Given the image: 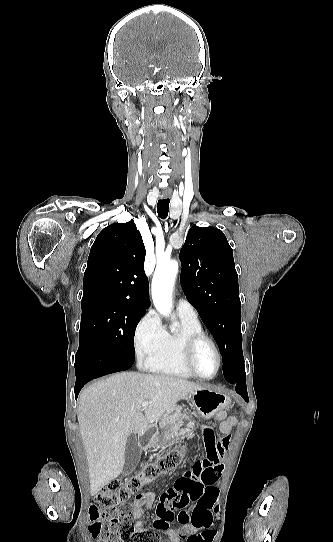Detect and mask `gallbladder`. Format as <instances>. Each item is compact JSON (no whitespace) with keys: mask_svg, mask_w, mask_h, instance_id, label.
<instances>
[{"mask_svg":"<svg viewBox=\"0 0 333 542\" xmlns=\"http://www.w3.org/2000/svg\"><path fill=\"white\" fill-rule=\"evenodd\" d=\"M142 450L141 444L137 442L134 434L129 436L126 446H125V456H124V468L122 470V476H129L133 470H135L140 458Z\"/></svg>","mask_w":333,"mask_h":542,"instance_id":"obj_1","label":"gallbladder"}]
</instances>
